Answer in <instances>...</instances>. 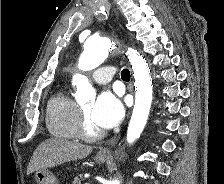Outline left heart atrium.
Returning <instances> with one entry per match:
<instances>
[{"mask_svg":"<svg viewBox=\"0 0 224 184\" xmlns=\"http://www.w3.org/2000/svg\"><path fill=\"white\" fill-rule=\"evenodd\" d=\"M123 114L124 108L120 99L110 92H104L95 101L90 119L96 126L110 129L121 121Z\"/></svg>","mask_w":224,"mask_h":184,"instance_id":"obj_1","label":"left heart atrium"}]
</instances>
